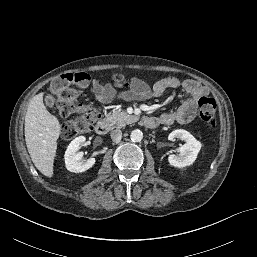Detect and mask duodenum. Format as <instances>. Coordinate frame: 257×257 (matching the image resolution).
I'll return each instance as SVG.
<instances>
[{
    "label": "duodenum",
    "instance_id": "duodenum-1",
    "mask_svg": "<svg viewBox=\"0 0 257 257\" xmlns=\"http://www.w3.org/2000/svg\"><path fill=\"white\" fill-rule=\"evenodd\" d=\"M142 124L147 128H156L159 125V121L156 117H146L142 120ZM110 129L109 123L105 119H101L95 127V131L99 135L106 134Z\"/></svg>",
    "mask_w": 257,
    "mask_h": 257
}]
</instances>
